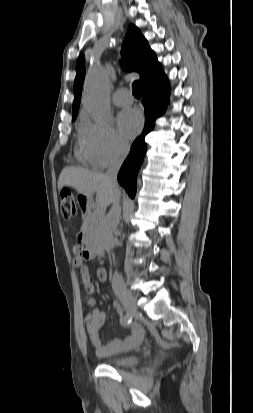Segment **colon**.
<instances>
[{
  "label": "colon",
  "mask_w": 253,
  "mask_h": 413,
  "mask_svg": "<svg viewBox=\"0 0 253 413\" xmlns=\"http://www.w3.org/2000/svg\"><path fill=\"white\" fill-rule=\"evenodd\" d=\"M77 207L75 199L70 192L61 193V213L64 218H71L76 215Z\"/></svg>",
  "instance_id": "colon-1"
}]
</instances>
